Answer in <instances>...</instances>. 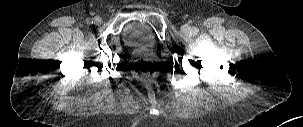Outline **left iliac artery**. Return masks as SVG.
Wrapping results in <instances>:
<instances>
[{"mask_svg":"<svg viewBox=\"0 0 303 127\" xmlns=\"http://www.w3.org/2000/svg\"><path fill=\"white\" fill-rule=\"evenodd\" d=\"M198 32H199V29H198V28H196V27H193V28H192V33H193L194 35L198 34Z\"/></svg>","mask_w":303,"mask_h":127,"instance_id":"left-iliac-artery-1","label":"left iliac artery"}]
</instances>
